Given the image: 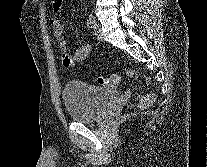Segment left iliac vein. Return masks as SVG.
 Wrapping results in <instances>:
<instances>
[{"instance_id":"1","label":"left iliac vein","mask_w":207,"mask_h":167,"mask_svg":"<svg viewBox=\"0 0 207 167\" xmlns=\"http://www.w3.org/2000/svg\"><path fill=\"white\" fill-rule=\"evenodd\" d=\"M94 34L99 41H103L104 36L100 24L96 23L94 26Z\"/></svg>"}]
</instances>
